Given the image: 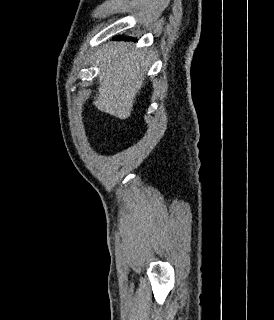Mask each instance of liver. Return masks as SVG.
<instances>
[{
    "label": "liver",
    "instance_id": "1",
    "mask_svg": "<svg viewBox=\"0 0 274 320\" xmlns=\"http://www.w3.org/2000/svg\"><path fill=\"white\" fill-rule=\"evenodd\" d=\"M99 84L93 106L120 120L130 118L136 96L145 86L148 64L131 42L104 46L97 58Z\"/></svg>",
    "mask_w": 274,
    "mask_h": 320
}]
</instances>
